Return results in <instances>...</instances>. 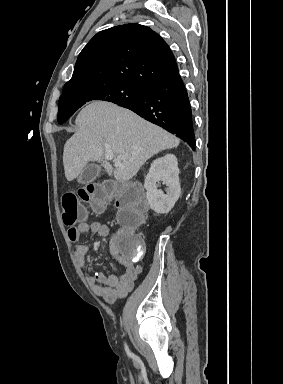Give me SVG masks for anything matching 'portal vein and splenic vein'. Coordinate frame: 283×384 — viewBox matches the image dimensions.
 Segmentation results:
<instances>
[{
	"instance_id": "1",
	"label": "portal vein and splenic vein",
	"mask_w": 283,
	"mask_h": 384,
	"mask_svg": "<svg viewBox=\"0 0 283 384\" xmlns=\"http://www.w3.org/2000/svg\"><path fill=\"white\" fill-rule=\"evenodd\" d=\"M123 156H116L112 150H106L105 152V160H113L115 164H121Z\"/></svg>"
}]
</instances>
